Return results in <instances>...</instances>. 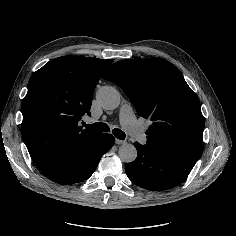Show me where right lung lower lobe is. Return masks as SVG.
I'll return each mask as SVG.
<instances>
[{"mask_svg":"<svg viewBox=\"0 0 236 236\" xmlns=\"http://www.w3.org/2000/svg\"><path fill=\"white\" fill-rule=\"evenodd\" d=\"M115 143L111 134L96 133L69 149L64 158L46 175L50 180L69 185L89 178L103 154Z\"/></svg>","mask_w":236,"mask_h":236,"instance_id":"1","label":"right lung lower lobe"}]
</instances>
